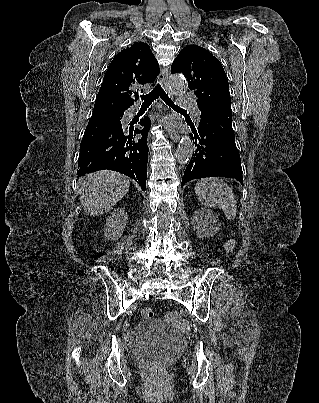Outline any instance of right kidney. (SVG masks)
I'll use <instances>...</instances> for the list:
<instances>
[{
  "instance_id": "obj_1",
  "label": "right kidney",
  "mask_w": 319,
  "mask_h": 403,
  "mask_svg": "<svg viewBox=\"0 0 319 403\" xmlns=\"http://www.w3.org/2000/svg\"><path fill=\"white\" fill-rule=\"evenodd\" d=\"M127 221V212L122 208L115 209L106 219V224L104 226V235L106 238L112 240L120 238L123 234Z\"/></svg>"
}]
</instances>
